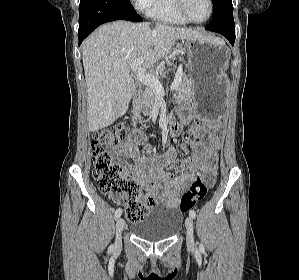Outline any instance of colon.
Listing matches in <instances>:
<instances>
[{"label": "colon", "instance_id": "5ec220e1", "mask_svg": "<svg viewBox=\"0 0 299 280\" xmlns=\"http://www.w3.org/2000/svg\"><path fill=\"white\" fill-rule=\"evenodd\" d=\"M197 133H201L199 123L189 125L184 131L189 147L195 146ZM132 137L131 130L126 126L108 127L93 135L91 149L94 164L93 174L100 192L122 206L126 219L134 223L147 215L146 196L142 193L139 185L126 175L124 164L113 159L108 151V148L118 146ZM190 166V159H179L174 163L177 171H186ZM211 185L209 181L199 175L193 182L190 191L183 197L180 204L181 211L187 212L195 207L206 197Z\"/></svg>", "mask_w": 299, "mask_h": 280}]
</instances>
